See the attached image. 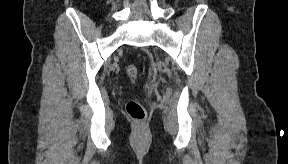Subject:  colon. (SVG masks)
<instances>
[{"label":"colon","mask_w":288,"mask_h":164,"mask_svg":"<svg viewBox=\"0 0 288 164\" xmlns=\"http://www.w3.org/2000/svg\"><path fill=\"white\" fill-rule=\"evenodd\" d=\"M126 73L130 80L135 81L138 77V70L134 65H128ZM127 113L131 120H144L146 116L145 109L142 103L138 100H130L126 106Z\"/></svg>","instance_id":"obj_1"}]
</instances>
